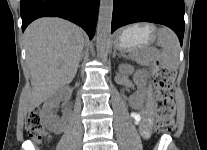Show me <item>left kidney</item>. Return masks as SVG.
I'll use <instances>...</instances> for the list:
<instances>
[{
  "instance_id": "5707ae66",
  "label": "left kidney",
  "mask_w": 207,
  "mask_h": 150,
  "mask_svg": "<svg viewBox=\"0 0 207 150\" xmlns=\"http://www.w3.org/2000/svg\"><path fill=\"white\" fill-rule=\"evenodd\" d=\"M119 70L123 73L126 72H131L132 71V67L127 66V65H121L119 66ZM136 80H137V84L139 86V90H138V97L135 99H132L131 101V105L133 108L135 109H140L142 107V104L144 102L145 99V84H146V80L140 76L139 72H136Z\"/></svg>"
}]
</instances>
